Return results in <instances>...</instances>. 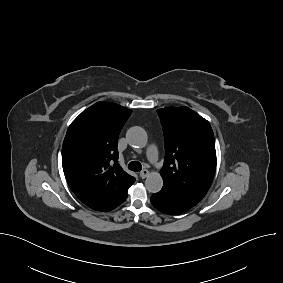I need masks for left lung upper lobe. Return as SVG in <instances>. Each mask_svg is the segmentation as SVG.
<instances>
[{
    "mask_svg": "<svg viewBox=\"0 0 283 283\" xmlns=\"http://www.w3.org/2000/svg\"><path fill=\"white\" fill-rule=\"evenodd\" d=\"M164 133L163 187L189 207L209 190L216 170V150L209 122L188 107L157 110Z\"/></svg>",
    "mask_w": 283,
    "mask_h": 283,
    "instance_id": "left-lung-upper-lobe-1",
    "label": "left lung upper lobe"
}]
</instances>
